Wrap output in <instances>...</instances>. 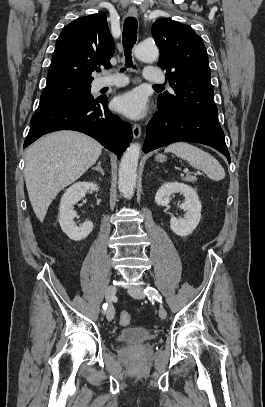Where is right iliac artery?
Segmentation results:
<instances>
[{
  "label": "right iliac artery",
  "mask_w": 265,
  "mask_h": 407,
  "mask_svg": "<svg viewBox=\"0 0 265 407\" xmlns=\"http://www.w3.org/2000/svg\"><path fill=\"white\" fill-rule=\"evenodd\" d=\"M107 307H108V304H107V303H104V304H103V306H102V308H103V312H104V313H105V311H106Z\"/></svg>",
  "instance_id": "right-iliac-artery-1"
}]
</instances>
